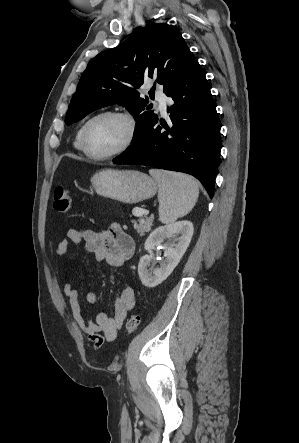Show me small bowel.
Returning a JSON list of instances; mask_svg holds the SVG:
<instances>
[{
	"label": "small bowel",
	"mask_w": 299,
	"mask_h": 443,
	"mask_svg": "<svg viewBox=\"0 0 299 443\" xmlns=\"http://www.w3.org/2000/svg\"><path fill=\"white\" fill-rule=\"evenodd\" d=\"M71 244H83L96 262H104L112 268H120L131 258L135 251V243L118 224H113L107 231L90 229H68L66 238L59 242L56 248L58 256L65 255ZM63 292L68 298L69 307L76 324L88 335L95 349H100L105 342L116 339L127 313L135 305V293L132 287L125 286L116 297L113 306V315L105 311L96 314L95 321L86 322L83 318L79 296L71 282H65ZM89 304H95L97 296L94 291L85 295Z\"/></svg>",
	"instance_id": "obj_1"
}]
</instances>
